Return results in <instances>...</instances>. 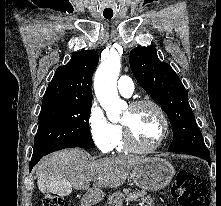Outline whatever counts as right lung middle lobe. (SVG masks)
<instances>
[{
	"instance_id": "dd1d6c3e",
	"label": "right lung middle lobe",
	"mask_w": 221,
	"mask_h": 206,
	"mask_svg": "<svg viewBox=\"0 0 221 206\" xmlns=\"http://www.w3.org/2000/svg\"><path fill=\"white\" fill-rule=\"evenodd\" d=\"M91 106L41 109L32 158L64 148H94L88 122Z\"/></svg>"
}]
</instances>
